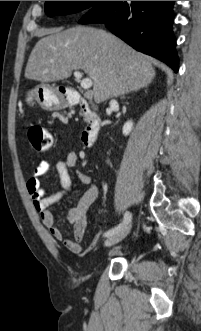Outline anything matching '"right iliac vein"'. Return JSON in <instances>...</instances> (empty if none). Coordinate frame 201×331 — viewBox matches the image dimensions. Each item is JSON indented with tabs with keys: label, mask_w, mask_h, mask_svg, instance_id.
Here are the masks:
<instances>
[{
	"label": "right iliac vein",
	"mask_w": 201,
	"mask_h": 331,
	"mask_svg": "<svg viewBox=\"0 0 201 331\" xmlns=\"http://www.w3.org/2000/svg\"><path fill=\"white\" fill-rule=\"evenodd\" d=\"M131 229V223L129 222L125 227L121 228L117 232H115L113 235L109 236L106 240L104 245L106 247H110L112 245L117 244L118 242L122 241L130 232Z\"/></svg>",
	"instance_id": "63e3f726"
}]
</instances>
